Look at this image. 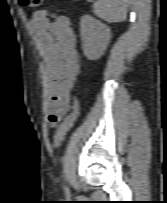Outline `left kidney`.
I'll return each instance as SVG.
<instances>
[{"mask_svg": "<svg viewBox=\"0 0 167 203\" xmlns=\"http://www.w3.org/2000/svg\"><path fill=\"white\" fill-rule=\"evenodd\" d=\"M80 28L84 55L89 60L99 59L111 39L109 27L85 15L81 19Z\"/></svg>", "mask_w": 167, "mask_h": 203, "instance_id": "5707ae66", "label": "left kidney"}]
</instances>
